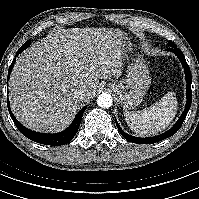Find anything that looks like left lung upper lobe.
Masks as SVG:
<instances>
[{"label":"left lung upper lobe","mask_w":199,"mask_h":199,"mask_svg":"<svg viewBox=\"0 0 199 199\" xmlns=\"http://www.w3.org/2000/svg\"><path fill=\"white\" fill-rule=\"evenodd\" d=\"M169 45H170V46H173V45H175V44H174L173 42L170 41V42H169Z\"/></svg>","instance_id":"1"}]
</instances>
